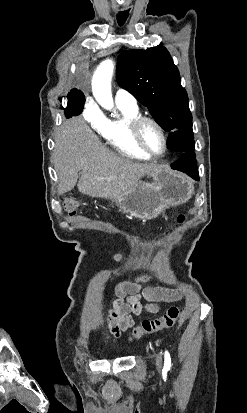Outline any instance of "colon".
Here are the masks:
<instances>
[{
    "instance_id": "obj_1",
    "label": "colon",
    "mask_w": 247,
    "mask_h": 413,
    "mask_svg": "<svg viewBox=\"0 0 247 413\" xmlns=\"http://www.w3.org/2000/svg\"><path fill=\"white\" fill-rule=\"evenodd\" d=\"M78 207L79 204L75 200L69 199L64 202V209L70 216H74L77 213ZM176 221L184 222L185 216L177 215ZM146 274H149L152 279H157L160 276V271L157 268H153L150 263H145L142 266V270H137L134 273V278L141 285H146L149 282V277ZM181 311L182 308L180 306H174L169 308L161 317L143 320L139 326L134 328L132 339L138 340L145 335L174 328L180 317Z\"/></svg>"
}]
</instances>
